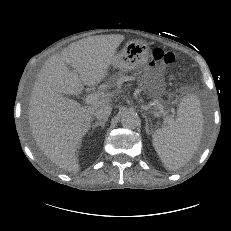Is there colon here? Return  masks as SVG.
Listing matches in <instances>:
<instances>
[{
    "label": "colon",
    "mask_w": 231,
    "mask_h": 231,
    "mask_svg": "<svg viewBox=\"0 0 231 231\" xmlns=\"http://www.w3.org/2000/svg\"><path fill=\"white\" fill-rule=\"evenodd\" d=\"M176 57L172 52H165L161 49H155L153 52L152 59L150 61V65L154 66L158 63H163L165 65H171L174 63Z\"/></svg>",
    "instance_id": "1"
}]
</instances>
